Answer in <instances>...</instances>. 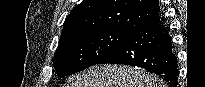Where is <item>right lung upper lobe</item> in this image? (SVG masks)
Segmentation results:
<instances>
[{
    "mask_svg": "<svg viewBox=\"0 0 205 87\" xmlns=\"http://www.w3.org/2000/svg\"><path fill=\"white\" fill-rule=\"evenodd\" d=\"M159 16V0H83L67 16L59 42L102 29L134 32Z\"/></svg>",
    "mask_w": 205,
    "mask_h": 87,
    "instance_id": "obj_1",
    "label": "right lung upper lobe"
}]
</instances>
